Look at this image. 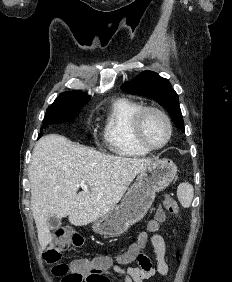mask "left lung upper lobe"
Returning <instances> with one entry per match:
<instances>
[{
	"label": "left lung upper lobe",
	"mask_w": 232,
	"mask_h": 282,
	"mask_svg": "<svg viewBox=\"0 0 232 282\" xmlns=\"http://www.w3.org/2000/svg\"><path fill=\"white\" fill-rule=\"evenodd\" d=\"M121 89L129 94L151 97L166 108L175 126L183 132L185 131L179 97L166 78H162L152 71H144L132 81L124 83Z\"/></svg>",
	"instance_id": "left-lung-upper-lobe-1"
}]
</instances>
